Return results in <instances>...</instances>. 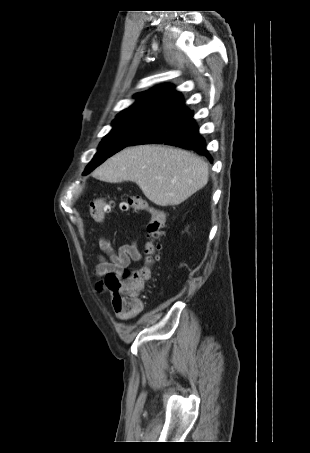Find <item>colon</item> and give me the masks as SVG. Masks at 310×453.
<instances>
[{
    "label": "colon",
    "mask_w": 310,
    "mask_h": 453,
    "mask_svg": "<svg viewBox=\"0 0 310 453\" xmlns=\"http://www.w3.org/2000/svg\"><path fill=\"white\" fill-rule=\"evenodd\" d=\"M114 205V201L108 197L95 199L90 203V215L96 222L102 223ZM119 208L123 212L133 210L146 212L149 215L143 265L134 270L124 271L120 278L114 275L106 278L112 295L114 311L124 317H130L143 309V301L139 294L151 279L152 269L159 261V242L164 236L166 217L162 211L149 206L144 199L138 196L127 197L120 202Z\"/></svg>",
    "instance_id": "obj_1"
}]
</instances>
